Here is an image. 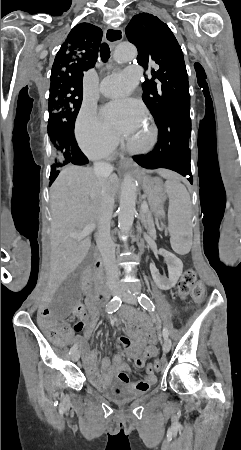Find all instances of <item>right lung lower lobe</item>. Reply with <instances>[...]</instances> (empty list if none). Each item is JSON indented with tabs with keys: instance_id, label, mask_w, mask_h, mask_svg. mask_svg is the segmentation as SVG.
<instances>
[{
	"instance_id": "obj_1",
	"label": "right lung lower lobe",
	"mask_w": 241,
	"mask_h": 450,
	"mask_svg": "<svg viewBox=\"0 0 241 450\" xmlns=\"http://www.w3.org/2000/svg\"><path fill=\"white\" fill-rule=\"evenodd\" d=\"M63 137L66 140L67 146L69 148V160L70 163L75 165H84L88 163L87 157L81 152L79 149L77 142L74 137V133H63ZM59 171H54L50 173V184L51 185L56 177L58 176Z\"/></svg>"
}]
</instances>
